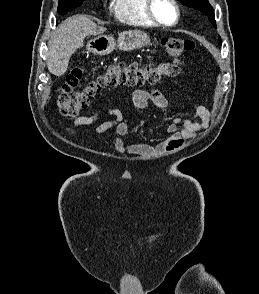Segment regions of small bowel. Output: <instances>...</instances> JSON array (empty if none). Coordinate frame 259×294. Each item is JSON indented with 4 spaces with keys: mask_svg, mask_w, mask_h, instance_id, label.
<instances>
[{
    "mask_svg": "<svg viewBox=\"0 0 259 294\" xmlns=\"http://www.w3.org/2000/svg\"><path fill=\"white\" fill-rule=\"evenodd\" d=\"M152 105L155 109L165 110L168 102L161 91L157 89L145 90L138 89L132 95V108L141 111ZM193 113L198 120L174 118L167 127L169 138L157 145H148L144 143H136L126 145L122 137L126 136L130 131V122L127 116L118 108H110L105 111H96L90 115L80 116L75 119L71 132L74 133L79 127L90 125L96 122L104 113L111 116L96 128V133L101 134L108 129H114V147L121 154L128 155H148L160 151H170L178 148L187 138H193L196 134L209 125L210 111L201 104L192 107Z\"/></svg>",
    "mask_w": 259,
    "mask_h": 294,
    "instance_id": "small-bowel-1",
    "label": "small bowel"
}]
</instances>
